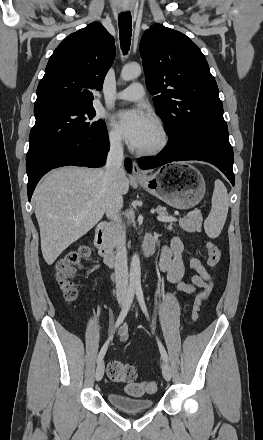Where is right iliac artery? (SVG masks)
I'll list each match as a JSON object with an SVG mask.
<instances>
[{
	"mask_svg": "<svg viewBox=\"0 0 263 440\" xmlns=\"http://www.w3.org/2000/svg\"><path fill=\"white\" fill-rule=\"evenodd\" d=\"M134 294H135V289L134 288H130L128 290V294H127V298H126L125 304H124V306H123V308H122V310H121V312H120V314H119V316L117 318V321L115 323V329L121 325V323L124 321L125 317L127 316L128 312H129V309L131 307V304L133 302V299H134ZM115 329H114V331H115ZM112 338H113V334H111L109 336L108 340L106 341V343L101 348L100 353L98 355V359H97L98 363L105 356L107 348H108V344H109L110 340H112Z\"/></svg>",
	"mask_w": 263,
	"mask_h": 440,
	"instance_id": "right-iliac-artery-1",
	"label": "right iliac artery"
}]
</instances>
